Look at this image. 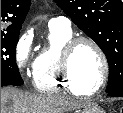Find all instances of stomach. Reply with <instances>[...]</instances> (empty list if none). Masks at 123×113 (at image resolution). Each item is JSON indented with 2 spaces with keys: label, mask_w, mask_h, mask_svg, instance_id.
Returning a JSON list of instances; mask_svg holds the SVG:
<instances>
[{
  "label": "stomach",
  "mask_w": 123,
  "mask_h": 113,
  "mask_svg": "<svg viewBox=\"0 0 123 113\" xmlns=\"http://www.w3.org/2000/svg\"><path fill=\"white\" fill-rule=\"evenodd\" d=\"M76 113H104V111L98 105L92 104Z\"/></svg>",
  "instance_id": "obj_1"
}]
</instances>
